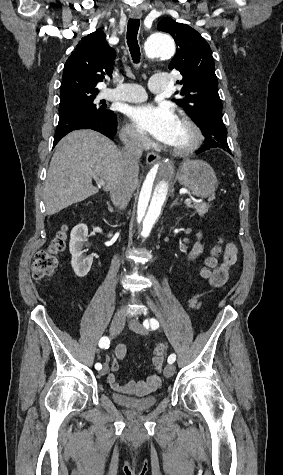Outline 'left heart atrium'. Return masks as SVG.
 Masks as SVG:
<instances>
[{
	"instance_id": "obj_1",
	"label": "left heart atrium",
	"mask_w": 283,
	"mask_h": 475,
	"mask_svg": "<svg viewBox=\"0 0 283 475\" xmlns=\"http://www.w3.org/2000/svg\"><path fill=\"white\" fill-rule=\"evenodd\" d=\"M129 117L139 131L162 142H170L175 135L173 131L178 118L173 108L166 103H148L133 107Z\"/></svg>"
}]
</instances>
